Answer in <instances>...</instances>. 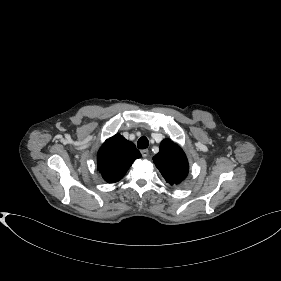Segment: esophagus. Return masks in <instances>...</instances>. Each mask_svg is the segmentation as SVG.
I'll return each instance as SVG.
<instances>
[{
  "instance_id": "esophagus-1",
  "label": "esophagus",
  "mask_w": 281,
  "mask_h": 281,
  "mask_svg": "<svg viewBox=\"0 0 281 281\" xmlns=\"http://www.w3.org/2000/svg\"><path fill=\"white\" fill-rule=\"evenodd\" d=\"M141 154H142V156H143L144 158H146V157L148 156V154H149L148 149L141 150Z\"/></svg>"
}]
</instances>
